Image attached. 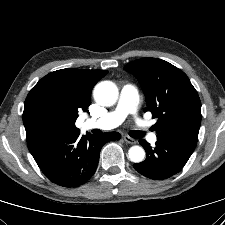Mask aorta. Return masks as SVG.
I'll use <instances>...</instances> for the list:
<instances>
[{"label":"aorta","instance_id":"obj_1","mask_svg":"<svg viewBox=\"0 0 225 225\" xmlns=\"http://www.w3.org/2000/svg\"><path fill=\"white\" fill-rule=\"evenodd\" d=\"M118 88L111 81H102L94 88V99L102 106H112L118 99ZM129 159L134 163L142 162L145 151L140 146H132L128 151Z\"/></svg>","mask_w":225,"mask_h":225}]
</instances>
